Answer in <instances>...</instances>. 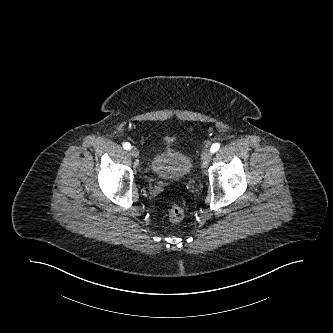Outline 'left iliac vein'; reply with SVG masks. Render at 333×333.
<instances>
[{"label":"left iliac vein","mask_w":333,"mask_h":333,"mask_svg":"<svg viewBox=\"0 0 333 333\" xmlns=\"http://www.w3.org/2000/svg\"><path fill=\"white\" fill-rule=\"evenodd\" d=\"M212 152L209 149H205L201 154V161L203 165H207L212 158Z\"/></svg>","instance_id":"obj_1"}]
</instances>
